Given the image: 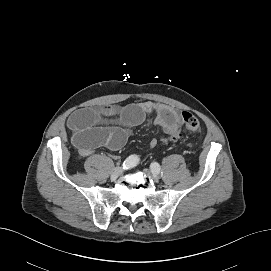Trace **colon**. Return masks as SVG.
<instances>
[{
	"instance_id": "1",
	"label": "colon",
	"mask_w": 271,
	"mask_h": 271,
	"mask_svg": "<svg viewBox=\"0 0 271 271\" xmlns=\"http://www.w3.org/2000/svg\"><path fill=\"white\" fill-rule=\"evenodd\" d=\"M182 122L171 130L166 137L162 138L164 143L168 141H176L181 138L185 133L195 132L200 128L199 120L190 112H182Z\"/></svg>"
}]
</instances>
